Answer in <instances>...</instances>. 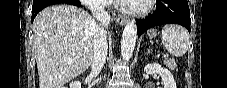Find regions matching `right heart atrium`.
<instances>
[{
  "label": "right heart atrium",
  "mask_w": 227,
  "mask_h": 88,
  "mask_svg": "<svg viewBox=\"0 0 227 88\" xmlns=\"http://www.w3.org/2000/svg\"><path fill=\"white\" fill-rule=\"evenodd\" d=\"M82 2L91 11H105L110 3L108 0H82Z\"/></svg>",
  "instance_id": "d8ad5b80"
}]
</instances>
